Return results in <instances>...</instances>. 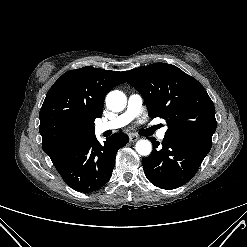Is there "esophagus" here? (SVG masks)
I'll use <instances>...</instances> for the list:
<instances>
[{
    "label": "esophagus",
    "mask_w": 247,
    "mask_h": 247,
    "mask_svg": "<svg viewBox=\"0 0 247 247\" xmlns=\"http://www.w3.org/2000/svg\"><path fill=\"white\" fill-rule=\"evenodd\" d=\"M129 140H130V142H136L137 140H139V136H137L135 134H131V135H129Z\"/></svg>",
    "instance_id": "34e87169"
}]
</instances>
